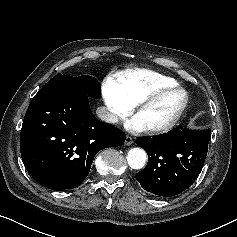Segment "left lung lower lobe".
<instances>
[{"label": "left lung lower lobe", "instance_id": "1", "mask_svg": "<svg viewBox=\"0 0 237 237\" xmlns=\"http://www.w3.org/2000/svg\"><path fill=\"white\" fill-rule=\"evenodd\" d=\"M210 132L178 126L163 135L137 138L136 144L148 154L147 166L136 174L143 189L170 197L190 187L203 168Z\"/></svg>", "mask_w": 237, "mask_h": 237}]
</instances>
